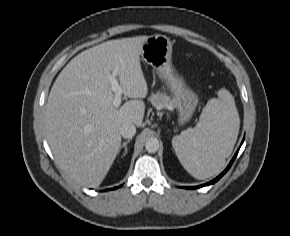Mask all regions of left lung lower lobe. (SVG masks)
<instances>
[{"instance_id":"0a47b994","label":"left lung lower lobe","mask_w":290,"mask_h":236,"mask_svg":"<svg viewBox=\"0 0 290 236\" xmlns=\"http://www.w3.org/2000/svg\"><path fill=\"white\" fill-rule=\"evenodd\" d=\"M243 141H244V139H243ZM243 141H242V143H243ZM242 143H241V145H242ZM238 151H239V149H238ZM238 151L235 153L233 159L231 160V162L229 163V165L227 166V168L218 177H216L214 180H212V181H210V182H208L206 184H203L201 186L191 187V188H199V187H202V186H207V185L213 184L216 181H218L229 170V168L233 164V162H234V160H235V158H236V156L238 154Z\"/></svg>"}]
</instances>
